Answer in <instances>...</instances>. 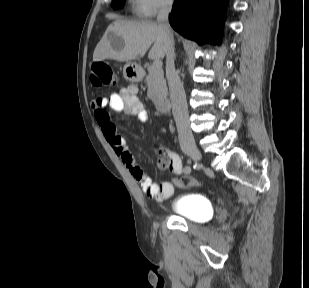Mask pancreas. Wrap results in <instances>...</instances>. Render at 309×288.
<instances>
[{
	"label": "pancreas",
	"mask_w": 309,
	"mask_h": 288,
	"mask_svg": "<svg viewBox=\"0 0 309 288\" xmlns=\"http://www.w3.org/2000/svg\"><path fill=\"white\" fill-rule=\"evenodd\" d=\"M148 75L145 79L148 90L147 96L153 103H159L167 97L166 81L164 72L160 69H155L151 65L147 66Z\"/></svg>",
	"instance_id": "pancreas-1"
}]
</instances>
